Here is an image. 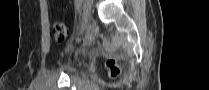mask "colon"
Returning a JSON list of instances; mask_svg holds the SVG:
<instances>
[{
    "instance_id": "5ec220e1",
    "label": "colon",
    "mask_w": 209,
    "mask_h": 90,
    "mask_svg": "<svg viewBox=\"0 0 209 90\" xmlns=\"http://www.w3.org/2000/svg\"><path fill=\"white\" fill-rule=\"evenodd\" d=\"M53 32L55 39L58 42L65 41L69 36V30L67 26L60 21L54 24ZM107 65L112 77H116L120 73V68L114 59L109 60Z\"/></svg>"
}]
</instances>
